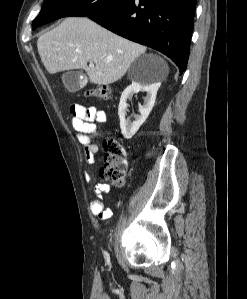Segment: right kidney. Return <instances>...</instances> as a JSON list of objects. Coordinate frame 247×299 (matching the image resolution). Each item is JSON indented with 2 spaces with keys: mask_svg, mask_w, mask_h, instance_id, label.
<instances>
[{
  "mask_svg": "<svg viewBox=\"0 0 247 299\" xmlns=\"http://www.w3.org/2000/svg\"><path fill=\"white\" fill-rule=\"evenodd\" d=\"M160 87L159 83L141 84L132 82L122 93L118 107V115L120 119V128L125 139H131L139 130L140 126L149 116L156 100L157 91ZM140 90L147 92V97L144 99V105H139L140 115L135 116V121L131 122L126 119L127 99H131L135 93Z\"/></svg>",
  "mask_w": 247,
  "mask_h": 299,
  "instance_id": "obj_1",
  "label": "right kidney"
}]
</instances>
